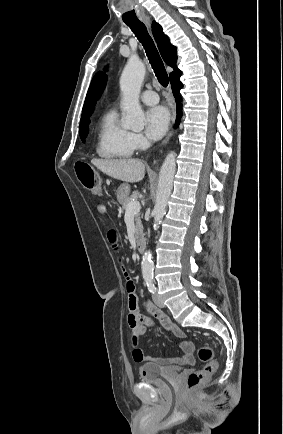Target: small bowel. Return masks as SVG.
<instances>
[{
    "label": "small bowel",
    "mask_w": 283,
    "mask_h": 434,
    "mask_svg": "<svg viewBox=\"0 0 283 434\" xmlns=\"http://www.w3.org/2000/svg\"><path fill=\"white\" fill-rule=\"evenodd\" d=\"M99 214H106L108 211L107 205L104 202H100L96 206ZM107 239L113 248H117L118 237L114 229H110L107 233ZM126 291L128 299V325L130 328V345L132 349V356L135 362L143 363L151 361L160 366H182L194 363V345L187 340L186 333L180 329L175 323L171 321L169 316L165 314L161 309L155 306L148 300H144L145 308L147 311L155 317L158 323L166 330L170 331L178 340L179 347L181 349V355L173 358H153L146 355L139 347V339L146 332V329L153 322L142 315L138 311V299L139 295L136 291L134 281L130 278H126Z\"/></svg>",
    "instance_id": "obj_1"
}]
</instances>
